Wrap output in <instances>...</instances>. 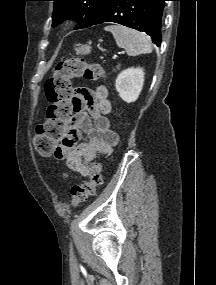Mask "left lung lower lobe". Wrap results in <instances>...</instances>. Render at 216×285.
Listing matches in <instances>:
<instances>
[{
    "instance_id": "0a47b994",
    "label": "left lung lower lobe",
    "mask_w": 216,
    "mask_h": 285,
    "mask_svg": "<svg viewBox=\"0 0 216 285\" xmlns=\"http://www.w3.org/2000/svg\"><path fill=\"white\" fill-rule=\"evenodd\" d=\"M164 1L167 0H112L93 25L118 23L146 33L159 46Z\"/></svg>"
}]
</instances>
